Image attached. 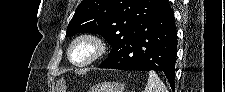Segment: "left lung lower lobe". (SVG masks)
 I'll return each mask as SVG.
<instances>
[{
  "instance_id": "1",
  "label": "left lung lower lobe",
  "mask_w": 225,
  "mask_h": 92,
  "mask_svg": "<svg viewBox=\"0 0 225 92\" xmlns=\"http://www.w3.org/2000/svg\"><path fill=\"white\" fill-rule=\"evenodd\" d=\"M177 31L174 12L167 2L147 19L131 40L103 61L99 68L161 71L175 88Z\"/></svg>"
}]
</instances>
